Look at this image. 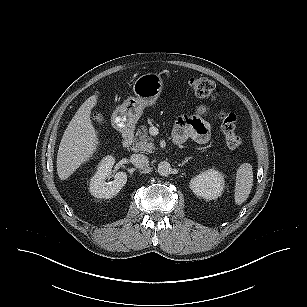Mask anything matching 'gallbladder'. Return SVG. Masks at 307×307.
Listing matches in <instances>:
<instances>
[{
  "label": "gallbladder",
  "mask_w": 307,
  "mask_h": 307,
  "mask_svg": "<svg viewBox=\"0 0 307 307\" xmlns=\"http://www.w3.org/2000/svg\"><path fill=\"white\" fill-rule=\"evenodd\" d=\"M96 122H98L99 124H102L104 122V117L102 114L98 113L96 114L95 118Z\"/></svg>",
  "instance_id": "gallbladder-1"
}]
</instances>
